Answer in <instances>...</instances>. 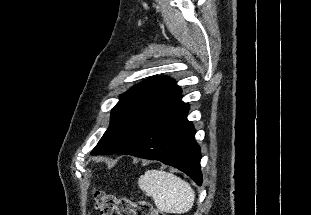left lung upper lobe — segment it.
Returning a JSON list of instances; mask_svg holds the SVG:
<instances>
[{
  "label": "left lung upper lobe",
  "instance_id": "obj_1",
  "mask_svg": "<svg viewBox=\"0 0 311 215\" xmlns=\"http://www.w3.org/2000/svg\"><path fill=\"white\" fill-rule=\"evenodd\" d=\"M181 93L175 81L166 76L152 77L129 89L112 109L109 128L91 154L118 153L155 114Z\"/></svg>",
  "mask_w": 311,
  "mask_h": 215
}]
</instances>
